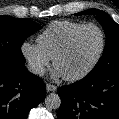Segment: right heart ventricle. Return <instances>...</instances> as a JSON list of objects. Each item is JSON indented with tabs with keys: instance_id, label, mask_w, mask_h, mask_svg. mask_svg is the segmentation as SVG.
Wrapping results in <instances>:
<instances>
[{
	"instance_id": "right-heart-ventricle-1",
	"label": "right heart ventricle",
	"mask_w": 119,
	"mask_h": 119,
	"mask_svg": "<svg viewBox=\"0 0 119 119\" xmlns=\"http://www.w3.org/2000/svg\"><path fill=\"white\" fill-rule=\"evenodd\" d=\"M83 25L69 20L54 21L38 36V45L50 58H54L69 36Z\"/></svg>"
}]
</instances>
